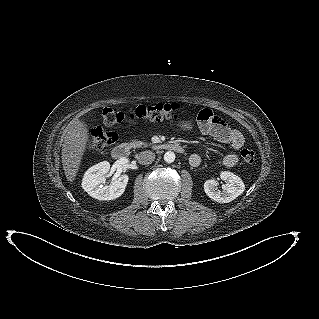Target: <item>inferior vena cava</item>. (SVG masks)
I'll return each mask as SVG.
<instances>
[{"label": "inferior vena cava", "mask_w": 319, "mask_h": 319, "mask_svg": "<svg viewBox=\"0 0 319 319\" xmlns=\"http://www.w3.org/2000/svg\"><path fill=\"white\" fill-rule=\"evenodd\" d=\"M155 159V153L152 151H142L137 155V160L142 165H149Z\"/></svg>", "instance_id": "inferior-vena-cava-1"}]
</instances>
